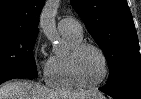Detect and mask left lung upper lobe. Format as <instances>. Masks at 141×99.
Wrapping results in <instances>:
<instances>
[{
  "mask_svg": "<svg viewBox=\"0 0 141 99\" xmlns=\"http://www.w3.org/2000/svg\"><path fill=\"white\" fill-rule=\"evenodd\" d=\"M89 33L102 49L110 75L107 86L141 83V56L126 0H71Z\"/></svg>",
  "mask_w": 141,
  "mask_h": 99,
  "instance_id": "1",
  "label": "left lung upper lobe"
}]
</instances>
